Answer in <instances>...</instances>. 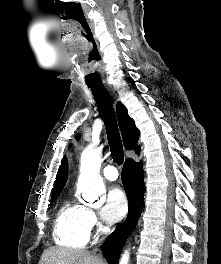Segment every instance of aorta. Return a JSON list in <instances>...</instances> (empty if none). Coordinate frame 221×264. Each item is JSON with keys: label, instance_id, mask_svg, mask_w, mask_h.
<instances>
[{"label": "aorta", "instance_id": "obj_1", "mask_svg": "<svg viewBox=\"0 0 221 264\" xmlns=\"http://www.w3.org/2000/svg\"><path fill=\"white\" fill-rule=\"evenodd\" d=\"M101 148H86L81 155L78 190L89 203H94L105 192V186L100 176ZM129 254L126 251L120 264H128Z\"/></svg>", "mask_w": 221, "mask_h": 264}]
</instances>
